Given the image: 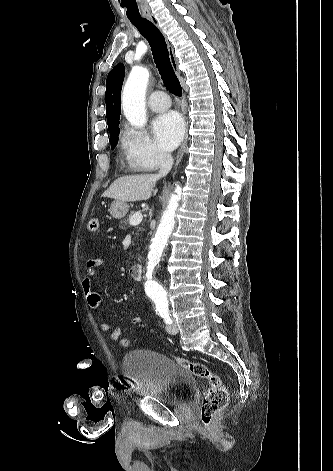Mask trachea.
<instances>
[{
	"label": "trachea",
	"instance_id": "3493384b",
	"mask_svg": "<svg viewBox=\"0 0 333 471\" xmlns=\"http://www.w3.org/2000/svg\"><path fill=\"white\" fill-rule=\"evenodd\" d=\"M130 21L148 40L156 67L166 88L172 94L181 96L182 88L170 62L169 52L163 34L147 19Z\"/></svg>",
	"mask_w": 333,
	"mask_h": 471
}]
</instances>
